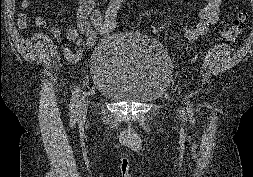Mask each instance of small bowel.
<instances>
[{
	"instance_id": "small-bowel-1",
	"label": "small bowel",
	"mask_w": 253,
	"mask_h": 177,
	"mask_svg": "<svg viewBox=\"0 0 253 177\" xmlns=\"http://www.w3.org/2000/svg\"><path fill=\"white\" fill-rule=\"evenodd\" d=\"M104 1L76 0L78 4L76 26L67 28L64 36L68 41L75 43L77 51L64 48L63 54L67 60L71 62L80 60L83 48L95 45L98 38L102 36L103 10L100 9V5ZM222 1L208 0L207 5L200 11L199 21L193 26H183L180 28V31L188 40H198L209 31L212 25L219 21ZM30 4L29 0H22L21 2L24 10L28 9ZM17 22L20 27L25 28L27 26L26 13H20ZM49 30L55 37L59 38L61 36V31L58 28L51 26Z\"/></svg>"
}]
</instances>
